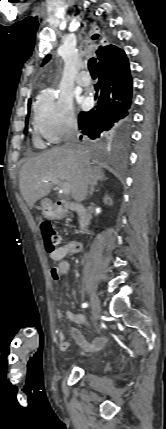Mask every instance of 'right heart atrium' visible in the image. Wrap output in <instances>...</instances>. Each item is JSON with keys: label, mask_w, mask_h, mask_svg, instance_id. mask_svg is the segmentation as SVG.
<instances>
[{"label": "right heart atrium", "mask_w": 166, "mask_h": 429, "mask_svg": "<svg viewBox=\"0 0 166 429\" xmlns=\"http://www.w3.org/2000/svg\"><path fill=\"white\" fill-rule=\"evenodd\" d=\"M34 129L50 143H57L72 134L78 125L70 97L49 89L43 92L34 105Z\"/></svg>", "instance_id": "d8ad5b80"}]
</instances>
